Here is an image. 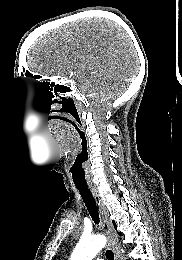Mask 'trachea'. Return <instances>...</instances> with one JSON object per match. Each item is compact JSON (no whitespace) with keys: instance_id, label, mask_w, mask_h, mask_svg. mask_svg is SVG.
Listing matches in <instances>:
<instances>
[{"instance_id":"trachea-1","label":"trachea","mask_w":182,"mask_h":260,"mask_svg":"<svg viewBox=\"0 0 182 260\" xmlns=\"http://www.w3.org/2000/svg\"><path fill=\"white\" fill-rule=\"evenodd\" d=\"M79 193L82 197V200L95 224H99V213L98 208L95 202V199L92 196L88 187H77ZM106 258L108 260H114V254L111 250L106 251Z\"/></svg>"}]
</instances>
